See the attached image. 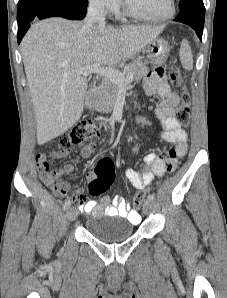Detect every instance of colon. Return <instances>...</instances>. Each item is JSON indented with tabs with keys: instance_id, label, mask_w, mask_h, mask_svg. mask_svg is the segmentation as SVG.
Segmentation results:
<instances>
[{
	"instance_id": "1",
	"label": "colon",
	"mask_w": 227,
	"mask_h": 298,
	"mask_svg": "<svg viewBox=\"0 0 227 298\" xmlns=\"http://www.w3.org/2000/svg\"><path fill=\"white\" fill-rule=\"evenodd\" d=\"M168 75L171 83L182 89L184 80L180 70L176 66H171L168 69ZM190 95L183 91L182 93V107L176 112L175 118L180 125L186 126L190 122ZM100 135V130L92 120L80 122L72 129L62 134L59 140L61 147L68 148L73 145H79L87 142L93 137ZM115 178V171L113 162L109 158L99 160L94 170V177L89 182V192L92 195H101L105 193L112 185ZM147 190L139 192L134 198V205L139 207L145 196Z\"/></svg>"
}]
</instances>
